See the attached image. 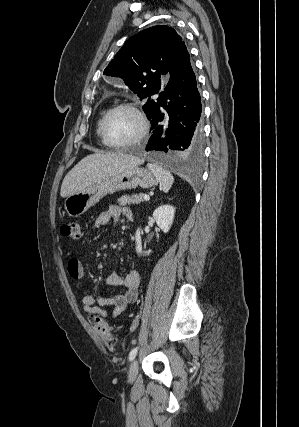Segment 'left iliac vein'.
<instances>
[{
    "label": "left iliac vein",
    "instance_id": "obj_1",
    "mask_svg": "<svg viewBox=\"0 0 299 427\" xmlns=\"http://www.w3.org/2000/svg\"><path fill=\"white\" fill-rule=\"evenodd\" d=\"M138 368H139L138 360L135 359L131 363L130 368H129V372H128V379L130 382H133L136 379L137 374H138Z\"/></svg>",
    "mask_w": 299,
    "mask_h": 427
}]
</instances>
